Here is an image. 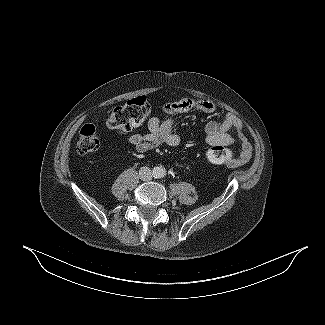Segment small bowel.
<instances>
[{"instance_id": "small-bowel-1", "label": "small bowel", "mask_w": 325, "mask_h": 325, "mask_svg": "<svg viewBox=\"0 0 325 325\" xmlns=\"http://www.w3.org/2000/svg\"><path fill=\"white\" fill-rule=\"evenodd\" d=\"M192 110L201 111L207 114L216 112V106L209 101L184 98L176 102L167 103L164 112L168 115L184 113ZM174 121L171 118L161 120L153 117L148 122V133L138 134L135 132L122 133L126 141L134 147L137 153L143 154L161 145L176 147L180 145L181 138L173 131ZM229 131H234L236 136H231ZM206 143L213 147L216 145L228 146L239 143L241 147L240 156L231 165L246 163L252 155V147L242 133V124L238 117L233 114H226L222 120L210 121L205 126Z\"/></svg>"}]
</instances>
